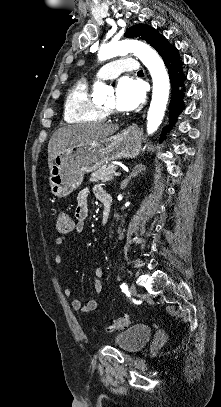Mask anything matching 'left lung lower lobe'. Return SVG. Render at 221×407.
Masks as SVG:
<instances>
[{"instance_id": "1", "label": "left lung lower lobe", "mask_w": 221, "mask_h": 407, "mask_svg": "<svg viewBox=\"0 0 221 407\" xmlns=\"http://www.w3.org/2000/svg\"><path fill=\"white\" fill-rule=\"evenodd\" d=\"M156 51L161 55L163 61L168 69L170 83L172 86V97L169 106V119L170 125L162 129L160 138L164 139L170 127L174 125L179 113L184 109L183 97L185 87L184 82L186 75L183 72V62L181 60L179 51L175 46L170 44L168 40L161 36L157 42Z\"/></svg>"}]
</instances>
